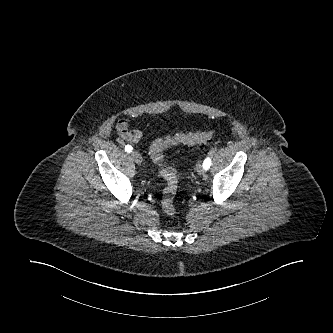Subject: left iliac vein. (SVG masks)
I'll use <instances>...</instances> for the list:
<instances>
[{
    "instance_id": "left-iliac-vein-1",
    "label": "left iliac vein",
    "mask_w": 333,
    "mask_h": 333,
    "mask_svg": "<svg viewBox=\"0 0 333 333\" xmlns=\"http://www.w3.org/2000/svg\"><path fill=\"white\" fill-rule=\"evenodd\" d=\"M196 170H197L199 175H203L205 173V170L203 168V165H202L201 161L198 162V164L196 165Z\"/></svg>"
}]
</instances>
